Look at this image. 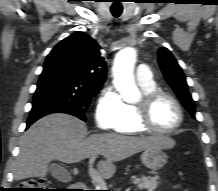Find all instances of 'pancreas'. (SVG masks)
Segmentation results:
<instances>
[{"label": "pancreas", "instance_id": "obj_1", "mask_svg": "<svg viewBox=\"0 0 218 191\" xmlns=\"http://www.w3.org/2000/svg\"><path fill=\"white\" fill-rule=\"evenodd\" d=\"M159 177H145L142 176L141 178L133 177V183L137 184V188L139 189H147L148 191H153L157 188L159 182Z\"/></svg>", "mask_w": 218, "mask_h": 191}]
</instances>
